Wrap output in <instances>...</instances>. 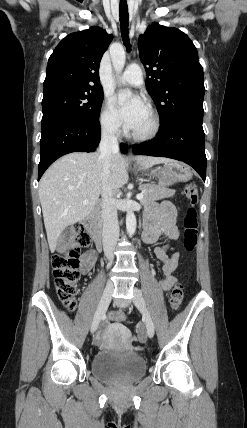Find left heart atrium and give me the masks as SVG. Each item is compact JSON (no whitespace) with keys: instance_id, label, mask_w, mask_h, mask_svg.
<instances>
[{"instance_id":"obj_1","label":"left heart atrium","mask_w":247,"mask_h":428,"mask_svg":"<svg viewBox=\"0 0 247 428\" xmlns=\"http://www.w3.org/2000/svg\"><path fill=\"white\" fill-rule=\"evenodd\" d=\"M116 101L121 120L131 130L139 123L148 110L146 102L136 94L121 92L117 95Z\"/></svg>"}]
</instances>
